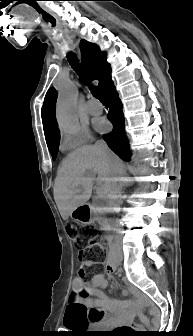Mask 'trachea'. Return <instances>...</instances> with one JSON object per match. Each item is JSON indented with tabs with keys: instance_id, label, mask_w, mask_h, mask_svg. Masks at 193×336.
<instances>
[{
	"instance_id": "obj_1",
	"label": "trachea",
	"mask_w": 193,
	"mask_h": 336,
	"mask_svg": "<svg viewBox=\"0 0 193 336\" xmlns=\"http://www.w3.org/2000/svg\"><path fill=\"white\" fill-rule=\"evenodd\" d=\"M68 62L70 63L71 67L77 72V74L82 78L83 80L88 79V74L86 70L82 67V65L79 63V60L75 53H69L67 55ZM92 95L100 100L102 103H107L106 98L102 94L101 90L98 87H93L92 89Z\"/></svg>"
}]
</instances>
